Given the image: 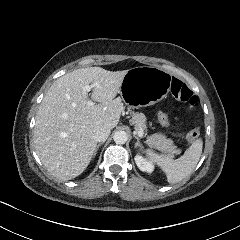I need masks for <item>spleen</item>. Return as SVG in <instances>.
I'll list each match as a JSON object with an SVG mask.
<instances>
[{"mask_svg":"<svg viewBox=\"0 0 240 240\" xmlns=\"http://www.w3.org/2000/svg\"><path fill=\"white\" fill-rule=\"evenodd\" d=\"M202 147V140L197 139L184 154L176 160L169 158L165 154H157L152 149H147L144 152L150 161L157 163L166 173L169 183H178L194 170L202 154Z\"/></svg>","mask_w":240,"mask_h":240,"instance_id":"3e777b00","label":"spleen"}]
</instances>
